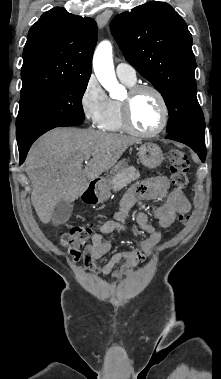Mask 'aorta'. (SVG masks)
Here are the masks:
<instances>
[{"instance_id": "762f6f07", "label": "aorta", "mask_w": 221, "mask_h": 379, "mask_svg": "<svg viewBox=\"0 0 221 379\" xmlns=\"http://www.w3.org/2000/svg\"><path fill=\"white\" fill-rule=\"evenodd\" d=\"M93 69L98 81L109 92L110 97L118 98L123 87L118 83L115 75L112 45L109 41L101 42L96 48Z\"/></svg>"}]
</instances>
